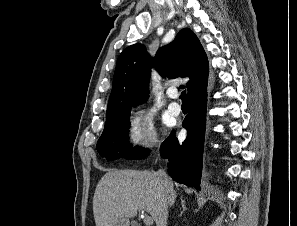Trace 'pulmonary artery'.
Wrapping results in <instances>:
<instances>
[{"label":"pulmonary artery","mask_w":297,"mask_h":226,"mask_svg":"<svg viewBox=\"0 0 297 226\" xmlns=\"http://www.w3.org/2000/svg\"><path fill=\"white\" fill-rule=\"evenodd\" d=\"M168 95L171 97V98H176L177 97V94L175 91H170L168 93ZM168 111L174 115V116H177L181 113V106L176 103V102H172L168 105Z\"/></svg>","instance_id":"e3ab8cb5"}]
</instances>
